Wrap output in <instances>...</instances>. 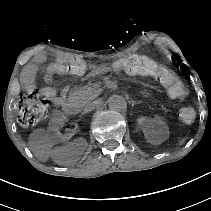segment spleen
<instances>
[{"instance_id":"1","label":"spleen","mask_w":211,"mask_h":211,"mask_svg":"<svg viewBox=\"0 0 211 211\" xmlns=\"http://www.w3.org/2000/svg\"><path fill=\"white\" fill-rule=\"evenodd\" d=\"M186 138L185 137H183V138H181L179 141H178V143H177V145L176 146H182L185 142H186Z\"/></svg>"}]
</instances>
